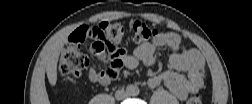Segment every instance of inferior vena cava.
Masks as SVG:
<instances>
[{
  "label": "inferior vena cava",
  "instance_id": "602c4592",
  "mask_svg": "<svg viewBox=\"0 0 252 104\" xmlns=\"http://www.w3.org/2000/svg\"><path fill=\"white\" fill-rule=\"evenodd\" d=\"M126 97H127V93H126V91L123 90V89H119V90H117V91L115 92V98H116L117 100H123V99H125Z\"/></svg>",
  "mask_w": 252,
  "mask_h": 104
}]
</instances>
